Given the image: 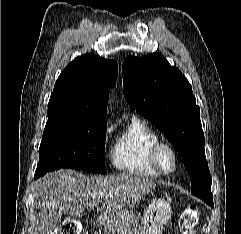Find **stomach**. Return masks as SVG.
Listing matches in <instances>:
<instances>
[{
  "mask_svg": "<svg viewBox=\"0 0 241 234\" xmlns=\"http://www.w3.org/2000/svg\"><path fill=\"white\" fill-rule=\"evenodd\" d=\"M171 217L170 203L165 199L153 200L141 218L128 210L104 214L101 222H110L120 234H162Z\"/></svg>",
  "mask_w": 241,
  "mask_h": 234,
  "instance_id": "obj_1",
  "label": "stomach"
}]
</instances>
